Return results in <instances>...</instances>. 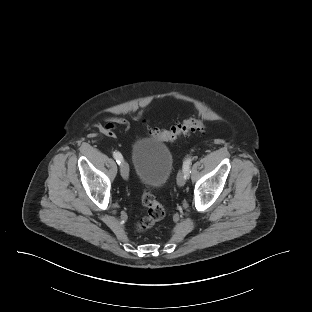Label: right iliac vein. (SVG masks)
<instances>
[{
  "instance_id": "right-iliac-vein-1",
  "label": "right iliac vein",
  "mask_w": 312,
  "mask_h": 312,
  "mask_svg": "<svg viewBox=\"0 0 312 312\" xmlns=\"http://www.w3.org/2000/svg\"><path fill=\"white\" fill-rule=\"evenodd\" d=\"M120 172H121V175L124 179H128V176H129V167H128V164L126 162H122L120 164Z\"/></svg>"
}]
</instances>
